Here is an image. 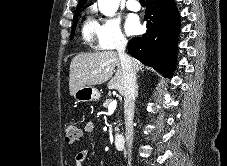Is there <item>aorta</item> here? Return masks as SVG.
<instances>
[{
  "label": "aorta",
  "instance_id": "aorta-1",
  "mask_svg": "<svg viewBox=\"0 0 227 166\" xmlns=\"http://www.w3.org/2000/svg\"><path fill=\"white\" fill-rule=\"evenodd\" d=\"M120 0H98L99 10L106 16H113L118 10Z\"/></svg>",
  "mask_w": 227,
  "mask_h": 166
}]
</instances>
